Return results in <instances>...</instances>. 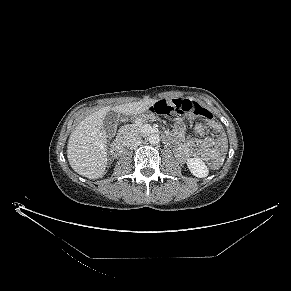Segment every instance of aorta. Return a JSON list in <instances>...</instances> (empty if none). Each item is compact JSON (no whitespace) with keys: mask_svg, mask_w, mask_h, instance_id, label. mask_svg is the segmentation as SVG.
I'll return each instance as SVG.
<instances>
[{"mask_svg":"<svg viewBox=\"0 0 291 291\" xmlns=\"http://www.w3.org/2000/svg\"><path fill=\"white\" fill-rule=\"evenodd\" d=\"M160 142V137L158 134H152L149 137V143L151 145H157Z\"/></svg>","mask_w":291,"mask_h":291,"instance_id":"obj_1","label":"aorta"}]
</instances>
